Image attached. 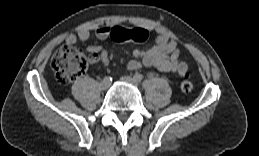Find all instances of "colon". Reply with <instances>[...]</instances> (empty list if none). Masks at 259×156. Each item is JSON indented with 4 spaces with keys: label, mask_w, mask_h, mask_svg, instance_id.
Listing matches in <instances>:
<instances>
[{
    "label": "colon",
    "mask_w": 259,
    "mask_h": 156,
    "mask_svg": "<svg viewBox=\"0 0 259 156\" xmlns=\"http://www.w3.org/2000/svg\"><path fill=\"white\" fill-rule=\"evenodd\" d=\"M148 38V32L142 28L118 29L111 35L116 42H144ZM88 61L84 53L74 46L64 45L60 47L51 59V67L56 74L58 81L62 84H69L84 74ZM180 88L184 93L193 89L190 75L183 74Z\"/></svg>",
    "instance_id": "1"
}]
</instances>
